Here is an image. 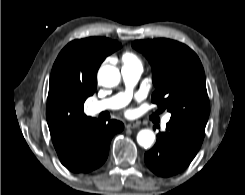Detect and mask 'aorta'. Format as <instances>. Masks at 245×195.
<instances>
[{
	"label": "aorta",
	"instance_id": "762f6f07",
	"mask_svg": "<svg viewBox=\"0 0 245 195\" xmlns=\"http://www.w3.org/2000/svg\"><path fill=\"white\" fill-rule=\"evenodd\" d=\"M120 71L118 68L105 65L98 72V80L102 86L114 87L120 82ZM155 134L150 129H142L137 134V142L144 148H149L153 145Z\"/></svg>",
	"mask_w": 245,
	"mask_h": 195
}]
</instances>
